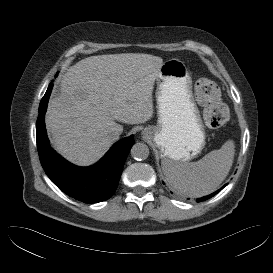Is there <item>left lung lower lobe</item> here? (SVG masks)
<instances>
[{"label": "left lung lower lobe", "mask_w": 273, "mask_h": 273, "mask_svg": "<svg viewBox=\"0 0 273 273\" xmlns=\"http://www.w3.org/2000/svg\"><path fill=\"white\" fill-rule=\"evenodd\" d=\"M226 185H224L221 189L217 190L216 192H214V193H212V194H210L208 196H205V197H202V198H198L196 201L197 202H201V201H205V200L211 198L212 196H214L215 194H217L219 191H221Z\"/></svg>", "instance_id": "0a47b994"}]
</instances>
